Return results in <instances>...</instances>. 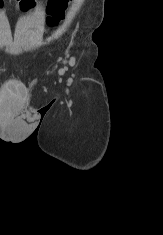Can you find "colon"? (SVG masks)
<instances>
[{
	"instance_id": "1",
	"label": "colon",
	"mask_w": 163,
	"mask_h": 235,
	"mask_svg": "<svg viewBox=\"0 0 163 235\" xmlns=\"http://www.w3.org/2000/svg\"><path fill=\"white\" fill-rule=\"evenodd\" d=\"M1 2V1H0ZM36 0H18L22 10L27 11L35 6ZM71 0H48L46 21L50 27L58 26L64 19L66 9Z\"/></svg>"
}]
</instances>
